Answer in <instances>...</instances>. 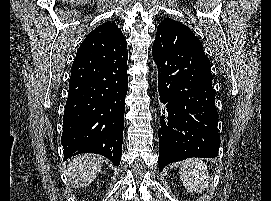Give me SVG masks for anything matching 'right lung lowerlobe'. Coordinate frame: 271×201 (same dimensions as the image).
Listing matches in <instances>:
<instances>
[{"label":"right lung lower lobe","mask_w":271,"mask_h":201,"mask_svg":"<svg viewBox=\"0 0 271 201\" xmlns=\"http://www.w3.org/2000/svg\"><path fill=\"white\" fill-rule=\"evenodd\" d=\"M126 47L114 38L98 37L85 38L78 48L63 116L64 160L96 153L119 166L128 90Z\"/></svg>","instance_id":"right-lung-lower-lobe-1"}]
</instances>
